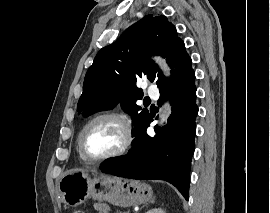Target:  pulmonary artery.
<instances>
[{
	"mask_svg": "<svg viewBox=\"0 0 270 213\" xmlns=\"http://www.w3.org/2000/svg\"><path fill=\"white\" fill-rule=\"evenodd\" d=\"M147 93L152 97H158V95H159L157 87L153 84H149L147 86Z\"/></svg>",
	"mask_w": 270,
	"mask_h": 213,
	"instance_id": "1",
	"label": "pulmonary artery"
}]
</instances>
